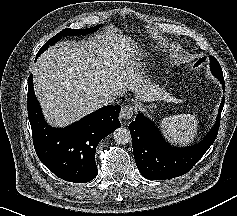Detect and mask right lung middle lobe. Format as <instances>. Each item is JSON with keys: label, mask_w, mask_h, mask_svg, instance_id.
Returning a JSON list of instances; mask_svg holds the SVG:
<instances>
[{"label": "right lung middle lobe", "mask_w": 237, "mask_h": 216, "mask_svg": "<svg viewBox=\"0 0 237 216\" xmlns=\"http://www.w3.org/2000/svg\"><path fill=\"white\" fill-rule=\"evenodd\" d=\"M100 25H97V26H94V27H91V28H88V29H83V30H75V29H70V28H67V29H64L62 30L61 32H59L58 34H56L54 37H52L45 45H43L41 47V49L39 50V52L37 53V56L38 57L41 53H43L50 45H53L55 44L56 42H58L63 36H74V35H79V34H87V33H90V32H94L98 29Z\"/></svg>", "instance_id": "right-lung-middle-lobe-1"}]
</instances>
